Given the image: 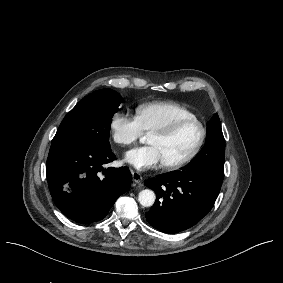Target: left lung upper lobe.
<instances>
[{
	"label": "left lung upper lobe",
	"mask_w": 283,
	"mask_h": 283,
	"mask_svg": "<svg viewBox=\"0 0 283 283\" xmlns=\"http://www.w3.org/2000/svg\"><path fill=\"white\" fill-rule=\"evenodd\" d=\"M215 154L219 162L220 170L216 173V180L222 182L224 177V155L225 140L221 130L220 120L217 114L213 116L207 126L206 142L198 155L189 163L194 166L193 161H199L204 155Z\"/></svg>",
	"instance_id": "5c2ea615"
}]
</instances>
